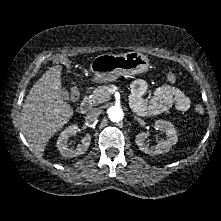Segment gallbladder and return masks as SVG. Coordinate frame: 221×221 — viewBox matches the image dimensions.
<instances>
[{"instance_id": "gallbladder-1", "label": "gallbladder", "mask_w": 221, "mask_h": 221, "mask_svg": "<svg viewBox=\"0 0 221 221\" xmlns=\"http://www.w3.org/2000/svg\"><path fill=\"white\" fill-rule=\"evenodd\" d=\"M60 96L64 99V100H69V93L67 90L62 89Z\"/></svg>"}]
</instances>
